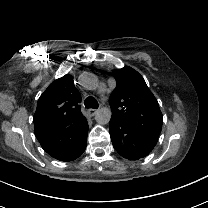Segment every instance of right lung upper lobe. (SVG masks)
Segmentation results:
<instances>
[{"instance_id":"right-lung-upper-lobe-1","label":"right lung upper lobe","mask_w":208,"mask_h":208,"mask_svg":"<svg viewBox=\"0 0 208 208\" xmlns=\"http://www.w3.org/2000/svg\"><path fill=\"white\" fill-rule=\"evenodd\" d=\"M81 96L71 75L52 82L40 96L33 117L35 135L61 131L83 118Z\"/></svg>"}]
</instances>
